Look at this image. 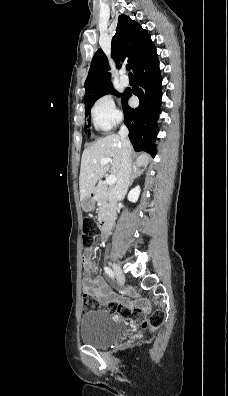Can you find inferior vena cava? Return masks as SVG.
<instances>
[{
	"label": "inferior vena cava",
	"instance_id": "1",
	"mask_svg": "<svg viewBox=\"0 0 228 396\" xmlns=\"http://www.w3.org/2000/svg\"><path fill=\"white\" fill-rule=\"evenodd\" d=\"M129 130L125 125H121L119 136L122 142V160L120 166L119 177L115 187L112 190L111 197V218L114 220L116 215L117 201L122 199L130 185L131 177V144L128 138Z\"/></svg>",
	"mask_w": 228,
	"mask_h": 396
}]
</instances>
